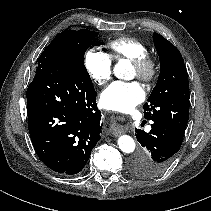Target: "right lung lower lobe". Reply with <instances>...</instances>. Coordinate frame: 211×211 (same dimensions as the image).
<instances>
[{
  "label": "right lung lower lobe",
  "mask_w": 211,
  "mask_h": 211,
  "mask_svg": "<svg viewBox=\"0 0 211 211\" xmlns=\"http://www.w3.org/2000/svg\"><path fill=\"white\" fill-rule=\"evenodd\" d=\"M96 91L53 55H41L27 89L28 128L34 149L55 172L79 173L100 139Z\"/></svg>",
  "instance_id": "1"
}]
</instances>
